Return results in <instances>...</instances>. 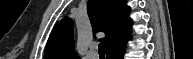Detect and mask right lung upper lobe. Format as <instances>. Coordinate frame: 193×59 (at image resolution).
Here are the masks:
<instances>
[{
  "label": "right lung upper lobe",
  "mask_w": 193,
  "mask_h": 59,
  "mask_svg": "<svg viewBox=\"0 0 193 59\" xmlns=\"http://www.w3.org/2000/svg\"><path fill=\"white\" fill-rule=\"evenodd\" d=\"M87 10L94 32L106 34V51L129 37L132 21L125 0H89ZM71 27L72 22L67 17L55 25L45 47L44 59H77Z\"/></svg>",
  "instance_id": "right-lung-upper-lobe-1"
}]
</instances>
